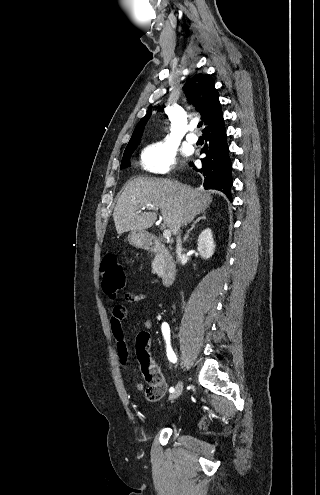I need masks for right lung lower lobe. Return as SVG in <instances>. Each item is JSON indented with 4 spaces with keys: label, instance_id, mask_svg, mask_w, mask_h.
<instances>
[{
    "label": "right lung lower lobe",
    "instance_id": "right-lung-lower-lobe-1",
    "mask_svg": "<svg viewBox=\"0 0 320 495\" xmlns=\"http://www.w3.org/2000/svg\"><path fill=\"white\" fill-rule=\"evenodd\" d=\"M203 137L207 143L201 149V153L206 154V157L201 159L202 167L197 169L192 162L189 165L202 174L205 189L222 191L232 201V162L229 157L224 120L203 131Z\"/></svg>",
    "mask_w": 320,
    "mask_h": 495
}]
</instances>
